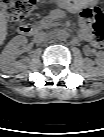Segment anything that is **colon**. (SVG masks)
<instances>
[{
    "label": "colon",
    "instance_id": "obj_1",
    "mask_svg": "<svg viewBox=\"0 0 104 137\" xmlns=\"http://www.w3.org/2000/svg\"><path fill=\"white\" fill-rule=\"evenodd\" d=\"M2 10L13 22H23L30 16L35 0H2ZM83 22L91 26V42L101 47L104 42V15L98 8H86L82 11Z\"/></svg>",
    "mask_w": 104,
    "mask_h": 137
}]
</instances>
